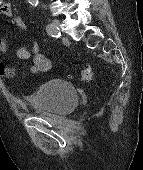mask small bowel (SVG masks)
Here are the masks:
<instances>
[{
	"mask_svg": "<svg viewBox=\"0 0 143 170\" xmlns=\"http://www.w3.org/2000/svg\"><path fill=\"white\" fill-rule=\"evenodd\" d=\"M0 14L7 17H12V23L15 27L20 30L26 29V24L21 17H13V8L10 3H3L0 0ZM7 50V41L5 39H0V56ZM17 56L21 60H31L32 65L30 67V73L37 74L41 72H46L51 69V62L40 53L39 46L35 43L31 49L26 47H21L17 51ZM0 75L7 78L14 76V70L5 65L0 58Z\"/></svg>",
	"mask_w": 143,
	"mask_h": 170,
	"instance_id": "obj_1",
	"label": "small bowel"
}]
</instances>
